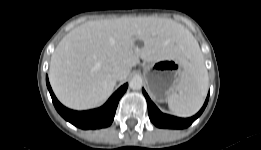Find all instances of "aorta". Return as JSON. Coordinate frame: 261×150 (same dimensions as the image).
Instances as JSON below:
<instances>
[{"instance_id":"762f6f07","label":"aorta","mask_w":261,"mask_h":150,"mask_svg":"<svg viewBox=\"0 0 261 150\" xmlns=\"http://www.w3.org/2000/svg\"><path fill=\"white\" fill-rule=\"evenodd\" d=\"M143 86V80L139 76L133 77L129 82V87L132 90H140Z\"/></svg>"}]
</instances>
